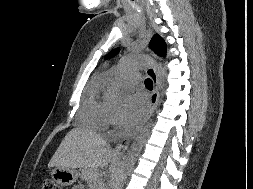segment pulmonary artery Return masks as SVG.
<instances>
[{"label":"pulmonary artery","mask_w":253,"mask_h":189,"mask_svg":"<svg viewBox=\"0 0 253 189\" xmlns=\"http://www.w3.org/2000/svg\"><path fill=\"white\" fill-rule=\"evenodd\" d=\"M139 76L135 73H125L123 83H137Z\"/></svg>","instance_id":"pulmonary-artery-1"}]
</instances>
